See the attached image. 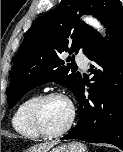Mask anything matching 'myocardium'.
Wrapping results in <instances>:
<instances>
[{
	"label": "myocardium",
	"instance_id": "1",
	"mask_svg": "<svg viewBox=\"0 0 123 152\" xmlns=\"http://www.w3.org/2000/svg\"><path fill=\"white\" fill-rule=\"evenodd\" d=\"M54 98L64 99L65 101L68 102V104L70 105V117H69L68 122L63 128L57 131H49L45 128L42 122L41 113H42V108L44 104L50 99H54ZM74 120H75L74 106L71 100L65 94L61 92L52 91V92H48L43 95H40L34 101L29 111V121H30L31 126L40 136L46 137V138H56V137L62 136L71 128Z\"/></svg>",
	"mask_w": 123,
	"mask_h": 152
}]
</instances>
